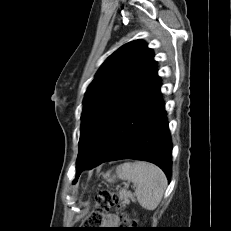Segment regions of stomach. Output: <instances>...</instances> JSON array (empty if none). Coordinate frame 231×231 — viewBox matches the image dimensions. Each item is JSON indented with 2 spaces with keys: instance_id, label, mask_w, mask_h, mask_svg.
<instances>
[{
  "instance_id": "stomach-1",
  "label": "stomach",
  "mask_w": 231,
  "mask_h": 231,
  "mask_svg": "<svg viewBox=\"0 0 231 231\" xmlns=\"http://www.w3.org/2000/svg\"><path fill=\"white\" fill-rule=\"evenodd\" d=\"M107 180H108L109 182H112V181H113V178H110V175L107 174Z\"/></svg>"
}]
</instances>
